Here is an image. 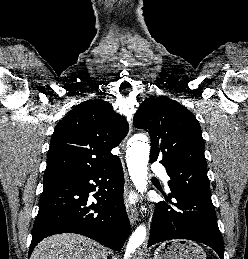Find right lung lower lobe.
<instances>
[{"label":"right lung lower lobe","instance_id":"98d812e1","mask_svg":"<svg viewBox=\"0 0 248 259\" xmlns=\"http://www.w3.org/2000/svg\"><path fill=\"white\" fill-rule=\"evenodd\" d=\"M123 188L117 156L101 169L45 182L29 256L39 241L59 233L82 234L119 251L131 230ZM91 192H96L95 203L88 200Z\"/></svg>","mask_w":248,"mask_h":259}]
</instances>
